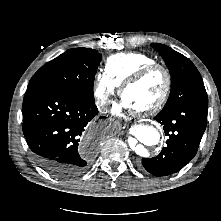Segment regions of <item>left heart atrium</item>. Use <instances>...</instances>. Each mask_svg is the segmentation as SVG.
I'll return each mask as SVG.
<instances>
[{
	"instance_id": "1",
	"label": "left heart atrium",
	"mask_w": 221,
	"mask_h": 221,
	"mask_svg": "<svg viewBox=\"0 0 221 221\" xmlns=\"http://www.w3.org/2000/svg\"><path fill=\"white\" fill-rule=\"evenodd\" d=\"M134 110L133 106L124 98L122 102L115 105L113 108V112L116 114H120L123 111H131Z\"/></svg>"
}]
</instances>
